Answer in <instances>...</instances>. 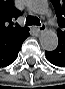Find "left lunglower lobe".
<instances>
[{
	"label": "left lung lower lobe",
	"mask_w": 65,
	"mask_h": 89,
	"mask_svg": "<svg viewBox=\"0 0 65 89\" xmlns=\"http://www.w3.org/2000/svg\"><path fill=\"white\" fill-rule=\"evenodd\" d=\"M58 47L51 52H45L47 59L54 65L65 67V36H58Z\"/></svg>",
	"instance_id": "left-lung-lower-lobe-1"
}]
</instances>
